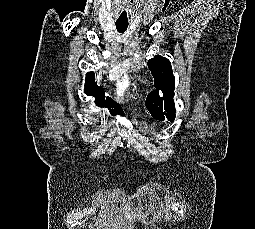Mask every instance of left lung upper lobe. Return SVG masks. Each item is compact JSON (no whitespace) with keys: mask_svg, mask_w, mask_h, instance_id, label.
I'll return each instance as SVG.
<instances>
[{"mask_svg":"<svg viewBox=\"0 0 255 229\" xmlns=\"http://www.w3.org/2000/svg\"><path fill=\"white\" fill-rule=\"evenodd\" d=\"M147 64L154 77L156 90L148 94L145 102L146 107L155 119L163 121L165 120V115L169 121L173 122L176 112L173 100L175 77L171 63L168 59L156 55ZM163 109L166 112H163Z\"/></svg>","mask_w":255,"mask_h":229,"instance_id":"left-lung-upper-lobe-1","label":"left lung upper lobe"}]
</instances>
